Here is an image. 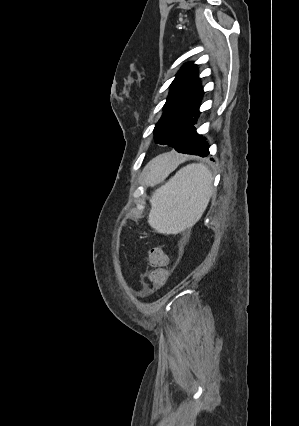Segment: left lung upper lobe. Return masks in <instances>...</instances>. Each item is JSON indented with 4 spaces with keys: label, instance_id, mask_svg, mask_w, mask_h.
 I'll return each instance as SVG.
<instances>
[{
    "label": "left lung upper lobe",
    "instance_id": "obj_1",
    "mask_svg": "<svg viewBox=\"0 0 299 426\" xmlns=\"http://www.w3.org/2000/svg\"><path fill=\"white\" fill-rule=\"evenodd\" d=\"M196 66L192 63L185 64L172 82L163 114L154 128L156 143L170 146L199 114L204 91Z\"/></svg>",
    "mask_w": 299,
    "mask_h": 426
}]
</instances>
